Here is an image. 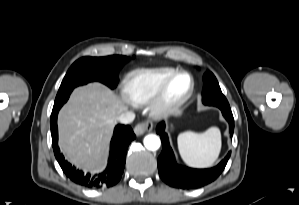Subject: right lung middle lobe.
<instances>
[{
	"mask_svg": "<svg viewBox=\"0 0 299 205\" xmlns=\"http://www.w3.org/2000/svg\"><path fill=\"white\" fill-rule=\"evenodd\" d=\"M128 60L129 57L120 55L83 57L77 60L66 73L54 106L64 104L75 87L91 81H100L113 89L116 86L119 69Z\"/></svg>",
	"mask_w": 299,
	"mask_h": 205,
	"instance_id": "obj_1",
	"label": "right lung middle lobe"
}]
</instances>
